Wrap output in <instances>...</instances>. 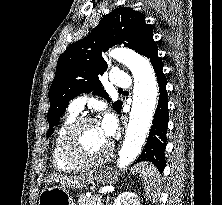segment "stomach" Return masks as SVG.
Returning <instances> with one entry per match:
<instances>
[{"mask_svg": "<svg viewBox=\"0 0 222 205\" xmlns=\"http://www.w3.org/2000/svg\"><path fill=\"white\" fill-rule=\"evenodd\" d=\"M110 172L100 171L94 178L103 184L108 182ZM39 205H74V201L65 186H46L40 193Z\"/></svg>", "mask_w": 222, "mask_h": 205, "instance_id": "0dacf381", "label": "stomach"}]
</instances>
